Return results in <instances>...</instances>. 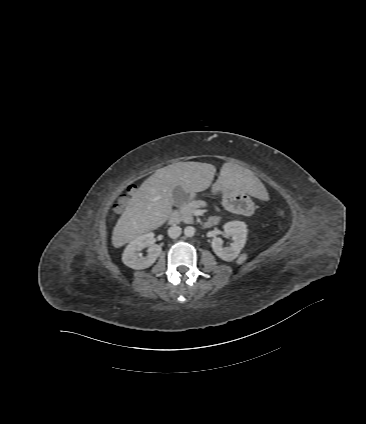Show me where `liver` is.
<instances>
[{
  "instance_id": "obj_1",
  "label": "liver",
  "mask_w": 366,
  "mask_h": 424,
  "mask_svg": "<svg viewBox=\"0 0 366 424\" xmlns=\"http://www.w3.org/2000/svg\"><path fill=\"white\" fill-rule=\"evenodd\" d=\"M215 172V166L201 162H178L158 169L130 199L113 229L112 245L122 247L162 226L172 212L174 189L180 186L185 195L205 191L211 185ZM213 186L258 198H262L265 190L252 171L233 163L223 164Z\"/></svg>"
}]
</instances>
